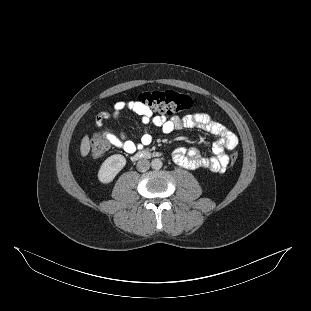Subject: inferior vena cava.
Returning a JSON list of instances; mask_svg holds the SVG:
<instances>
[{"instance_id": "1", "label": "inferior vena cava", "mask_w": 311, "mask_h": 311, "mask_svg": "<svg viewBox=\"0 0 311 311\" xmlns=\"http://www.w3.org/2000/svg\"><path fill=\"white\" fill-rule=\"evenodd\" d=\"M150 168V162L147 159H141L137 162V170L146 172Z\"/></svg>"}]
</instances>
